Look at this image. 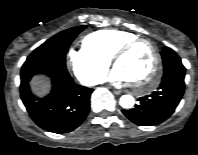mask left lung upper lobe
I'll use <instances>...</instances> for the list:
<instances>
[{
  "label": "left lung upper lobe",
  "instance_id": "1",
  "mask_svg": "<svg viewBox=\"0 0 198 155\" xmlns=\"http://www.w3.org/2000/svg\"><path fill=\"white\" fill-rule=\"evenodd\" d=\"M162 59H163V69L164 73L174 69V68H184L180 57L176 54L175 51L170 49L169 47H165L161 51Z\"/></svg>",
  "mask_w": 198,
  "mask_h": 155
}]
</instances>
